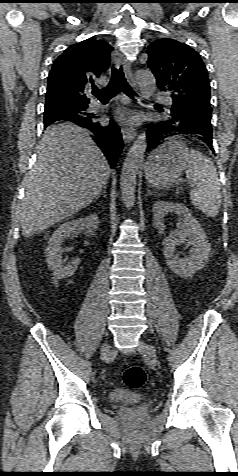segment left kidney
I'll return each instance as SVG.
<instances>
[{"label":"left kidney","mask_w":238,"mask_h":476,"mask_svg":"<svg viewBox=\"0 0 238 476\" xmlns=\"http://www.w3.org/2000/svg\"><path fill=\"white\" fill-rule=\"evenodd\" d=\"M169 213L180 215L183 223L164 238L163 254L171 271L180 277L189 278L202 269L209 260L211 246L201 225L183 204L156 201L153 205L154 227L163 231L164 217ZM186 240L193 244V248L190 250L189 258L181 259L175 255V247Z\"/></svg>","instance_id":"1"}]
</instances>
